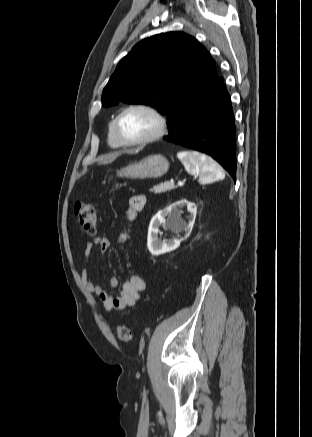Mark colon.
Masks as SVG:
<instances>
[{"label":"colon","instance_id":"obj_1","mask_svg":"<svg viewBox=\"0 0 312 437\" xmlns=\"http://www.w3.org/2000/svg\"><path fill=\"white\" fill-rule=\"evenodd\" d=\"M74 211L83 230L89 235L95 234L97 217L94 207L89 203L77 202ZM116 334L121 342L129 343L133 340V332L130 325L118 326Z\"/></svg>","mask_w":312,"mask_h":437}]
</instances>
